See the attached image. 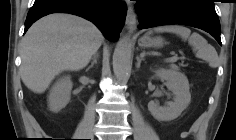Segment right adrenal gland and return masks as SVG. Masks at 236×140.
I'll return each instance as SVG.
<instances>
[{"label":"right adrenal gland","instance_id":"obj_1","mask_svg":"<svg viewBox=\"0 0 236 140\" xmlns=\"http://www.w3.org/2000/svg\"><path fill=\"white\" fill-rule=\"evenodd\" d=\"M98 57H99V54H98V53H95V54L93 55L91 65H90V67H89L88 69L92 68L95 64H97V59H98Z\"/></svg>","mask_w":236,"mask_h":140}]
</instances>
